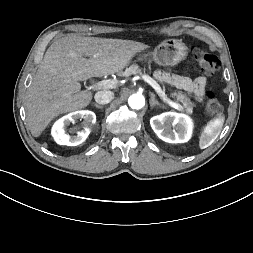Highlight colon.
<instances>
[{"label": "colon", "instance_id": "5ec220e1", "mask_svg": "<svg viewBox=\"0 0 253 253\" xmlns=\"http://www.w3.org/2000/svg\"><path fill=\"white\" fill-rule=\"evenodd\" d=\"M195 58L201 70L208 75L216 73L220 68V61L215 56L200 48L194 49ZM206 110L209 114H217L222 110V105L213 92L207 93Z\"/></svg>", "mask_w": 253, "mask_h": 253}]
</instances>
